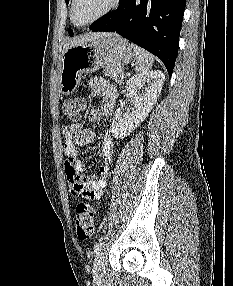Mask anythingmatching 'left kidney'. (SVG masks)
Instances as JSON below:
<instances>
[{"mask_svg":"<svg viewBox=\"0 0 233 286\" xmlns=\"http://www.w3.org/2000/svg\"><path fill=\"white\" fill-rule=\"evenodd\" d=\"M164 79L163 72L157 70L134 75L127 81L125 89L133 108L126 113H122V107L115 111L111 124L114 138L128 136L145 120L157 102Z\"/></svg>","mask_w":233,"mask_h":286,"instance_id":"left-kidney-1","label":"left kidney"}]
</instances>
